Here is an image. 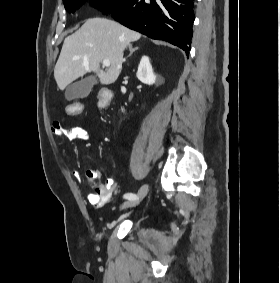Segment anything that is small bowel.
Wrapping results in <instances>:
<instances>
[{"label": "small bowel", "mask_w": 280, "mask_h": 283, "mask_svg": "<svg viewBox=\"0 0 280 283\" xmlns=\"http://www.w3.org/2000/svg\"><path fill=\"white\" fill-rule=\"evenodd\" d=\"M51 133L56 137H64L68 140L85 141L89 138L88 131L82 126L64 127L60 122L55 121L51 126ZM72 175L78 179L81 173L78 170H73ZM86 178L93 188L87 196L89 203L100 208L107 204L118 193V187L112 177L102 180V174L98 169H87L85 172Z\"/></svg>", "instance_id": "small-bowel-1"}]
</instances>
